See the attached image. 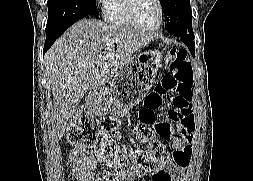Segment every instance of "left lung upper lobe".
Segmentation results:
<instances>
[{
  "label": "left lung upper lobe",
  "instance_id": "5c2ea615",
  "mask_svg": "<svg viewBox=\"0 0 253 181\" xmlns=\"http://www.w3.org/2000/svg\"><path fill=\"white\" fill-rule=\"evenodd\" d=\"M166 15V29L178 36L194 39L190 0H160Z\"/></svg>",
  "mask_w": 253,
  "mask_h": 181
}]
</instances>
